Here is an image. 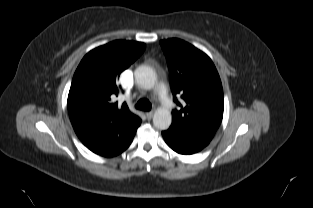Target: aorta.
<instances>
[{"label": "aorta", "mask_w": 313, "mask_h": 208, "mask_svg": "<svg viewBox=\"0 0 313 208\" xmlns=\"http://www.w3.org/2000/svg\"><path fill=\"white\" fill-rule=\"evenodd\" d=\"M136 83L143 89H152L157 82L155 71L145 65L139 66L135 70ZM172 122L171 112L166 108H158L153 116V125L159 130H166Z\"/></svg>", "instance_id": "1"}]
</instances>
